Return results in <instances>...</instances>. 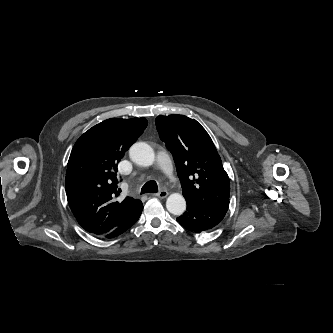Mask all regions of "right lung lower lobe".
Returning <instances> with one entry per match:
<instances>
[{
	"label": "right lung lower lobe",
	"instance_id": "right-lung-lower-lobe-1",
	"mask_svg": "<svg viewBox=\"0 0 333 333\" xmlns=\"http://www.w3.org/2000/svg\"><path fill=\"white\" fill-rule=\"evenodd\" d=\"M142 209H143V207L134 216H132L127 222H125L121 226L115 228L110 233L106 234L104 237L113 238V237H116V236L122 234L123 232H125L127 229H129L132 225H134L137 222V220L139 219V216L141 215Z\"/></svg>",
	"mask_w": 333,
	"mask_h": 333
}]
</instances>
